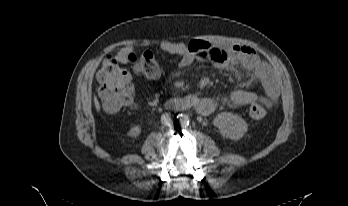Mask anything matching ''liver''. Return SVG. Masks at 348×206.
<instances>
[{
	"instance_id": "1",
	"label": "liver",
	"mask_w": 348,
	"mask_h": 206,
	"mask_svg": "<svg viewBox=\"0 0 348 206\" xmlns=\"http://www.w3.org/2000/svg\"><path fill=\"white\" fill-rule=\"evenodd\" d=\"M94 103H95L96 109L99 111L100 110V105H99V102H98V99H97L96 96L94 97Z\"/></svg>"
}]
</instances>
